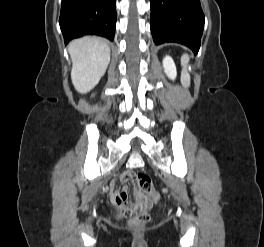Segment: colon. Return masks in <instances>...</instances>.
Wrapping results in <instances>:
<instances>
[{"mask_svg": "<svg viewBox=\"0 0 264 247\" xmlns=\"http://www.w3.org/2000/svg\"><path fill=\"white\" fill-rule=\"evenodd\" d=\"M133 185L138 195H150L154 199L158 198V194L155 192L151 177L146 173H136L133 177ZM146 199L144 197L137 198L135 201L122 200L117 202V206L120 212L130 217V225L143 226L149 219V213L145 209Z\"/></svg>", "mask_w": 264, "mask_h": 247, "instance_id": "1", "label": "colon"}]
</instances>
